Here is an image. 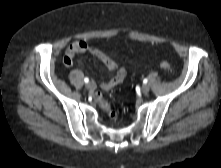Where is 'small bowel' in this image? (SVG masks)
I'll return each instance as SVG.
<instances>
[{
	"instance_id": "c3829d8e",
	"label": "small bowel",
	"mask_w": 221,
	"mask_h": 168,
	"mask_svg": "<svg viewBox=\"0 0 221 168\" xmlns=\"http://www.w3.org/2000/svg\"><path fill=\"white\" fill-rule=\"evenodd\" d=\"M86 51L96 56L105 65L109 73H115V76L109 80H98V85L102 89L109 90L124 80L126 76L125 70L119 68L117 62L111 56L105 54L98 47L88 45L84 41H75L68 46L64 57L65 65H72L74 56L77 53Z\"/></svg>"
}]
</instances>
